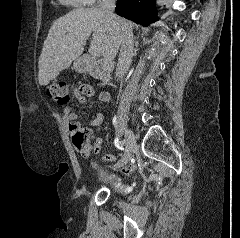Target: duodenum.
I'll list each match as a JSON object with an SVG mask.
<instances>
[{
  "instance_id": "duodenum-1",
  "label": "duodenum",
  "mask_w": 240,
  "mask_h": 238,
  "mask_svg": "<svg viewBox=\"0 0 240 238\" xmlns=\"http://www.w3.org/2000/svg\"><path fill=\"white\" fill-rule=\"evenodd\" d=\"M85 68H86V71L91 76L100 78L104 84H108L109 83V81L111 79L110 74L101 71L98 63L95 60H93L91 58H87L85 60Z\"/></svg>"
}]
</instances>
